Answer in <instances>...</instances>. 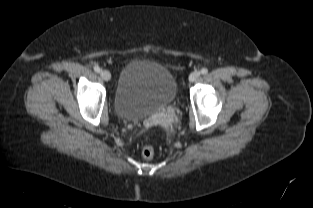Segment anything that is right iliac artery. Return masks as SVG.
Masks as SVG:
<instances>
[{
	"label": "right iliac artery",
	"mask_w": 313,
	"mask_h": 208,
	"mask_svg": "<svg viewBox=\"0 0 313 208\" xmlns=\"http://www.w3.org/2000/svg\"><path fill=\"white\" fill-rule=\"evenodd\" d=\"M94 71L97 72V73H99V72H100V67L95 65V66H94Z\"/></svg>",
	"instance_id": "right-iliac-artery-1"
}]
</instances>
